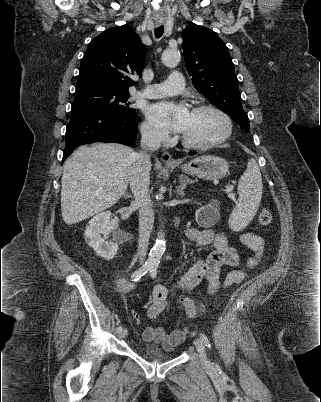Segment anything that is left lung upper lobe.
Returning a JSON list of instances; mask_svg holds the SVG:
<instances>
[{"mask_svg": "<svg viewBox=\"0 0 321 402\" xmlns=\"http://www.w3.org/2000/svg\"><path fill=\"white\" fill-rule=\"evenodd\" d=\"M183 53L194 87L245 131L249 119L242 107L238 79L228 48L212 30L191 23L183 33Z\"/></svg>", "mask_w": 321, "mask_h": 402, "instance_id": "left-lung-upper-lobe-1", "label": "left lung upper lobe"}]
</instances>
